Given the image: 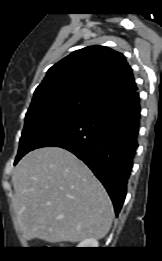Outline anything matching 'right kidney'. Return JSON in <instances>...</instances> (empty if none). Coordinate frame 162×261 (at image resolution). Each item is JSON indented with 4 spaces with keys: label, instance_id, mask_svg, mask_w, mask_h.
<instances>
[{
    "label": "right kidney",
    "instance_id": "obj_1",
    "mask_svg": "<svg viewBox=\"0 0 162 261\" xmlns=\"http://www.w3.org/2000/svg\"><path fill=\"white\" fill-rule=\"evenodd\" d=\"M79 248H97L98 247V241L93 238H88L80 242V244L77 246Z\"/></svg>",
    "mask_w": 162,
    "mask_h": 261
}]
</instances>
